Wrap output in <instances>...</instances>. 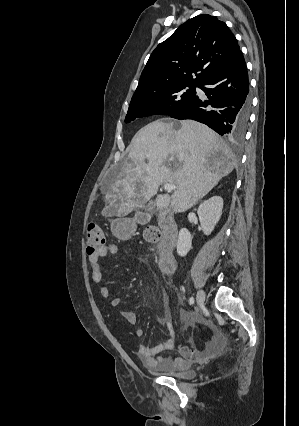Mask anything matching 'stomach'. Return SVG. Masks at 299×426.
<instances>
[{
	"instance_id": "1",
	"label": "stomach",
	"mask_w": 299,
	"mask_h": 426,
	"mask_svg": "<svg viewBox=\"0 0 299 426\" xmlns=\"http://www.w3.org/2000/svg\"><path fill=\"white\" fill-rule=\"evenodd\" d=\"M125 219H116L112 221L111 229L115 236L117 237H127L131 229L127 228Z\"/></svg>"
}]
</instances>
